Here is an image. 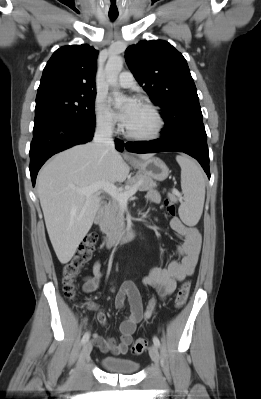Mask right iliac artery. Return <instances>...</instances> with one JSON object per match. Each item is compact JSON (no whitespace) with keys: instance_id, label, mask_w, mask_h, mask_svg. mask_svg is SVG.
Instances as JSON below:
<instances>
[{"instance_id":"right-iliac-artery-1","label":"right iliac artery","mask_w":261,"mask_h":399,"mask_svg":"<svg viewBox=\"0 0 261 399\" xmlns=\"http://www.w3.org/2000/svg\"><path fill=\"white\" fill-rule=\"evenodd\" d=\"M89 338H90V334H89V332H86V333L83 335V337H82L81 343H82V344L86 343V342L89 340Z\"/></svg>"}]
</instances>
